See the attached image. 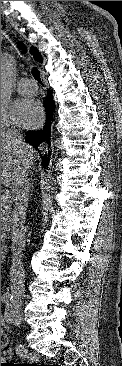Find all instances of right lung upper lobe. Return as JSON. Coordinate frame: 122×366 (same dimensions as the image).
Segmentation results:
<instances>
[{"mask_svg": "<svg viewBox=\"0 0 122 366\" xmlns=\"http://www.w3.org/2000/svg\"><path fill=\"white\" fill-rule=\"evenodd\" d=\"M31 53L37 62L42 63L43 61L42 56L36 48H32Z\"/></svg>", "mask_w": 122, "mask_h": 366, "instance_id": "1", "label": "right lung upper lobe"}]
</instances>
